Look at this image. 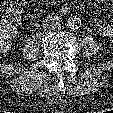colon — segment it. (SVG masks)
Listing matches in <instances>:
<instances>
[{"label":"colon","instance_id":"5ec220e1","mask_svg":"<svg viewBox=\"0 0 113 113\" xmlns=\"http://www.w3.org/2000/svg\"><path fill=\"white\" fill-rule=\"evenodd\" d=\"M25 0H0V42L1 30L6 26H12L15 21L12 10L19 11Z\"/></svg>","mask_w":113,"mask_h":113}]
</instances>
